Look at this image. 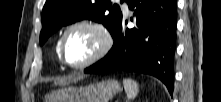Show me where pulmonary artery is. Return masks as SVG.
<instances>
[{
	"label": "pulmonary artery",
	"instance_id": "e3ab8cb5",
	"mask_svg": "<svg viewBox=\"0 0 221 102\" xmlns=\"http://www.w3.org/2000/svg\"><path fill=\"white\" fill-rule=\"evenodd\" d=\"M118 1V0H117ZM124 8L127 10L128 6L126 4V2L123 3Z\"/></svg>",
	"mask_w": 221,
	"mask_h": 102
}]
</instances>
